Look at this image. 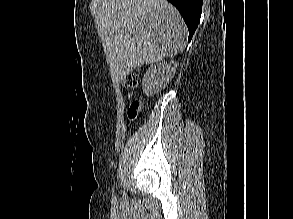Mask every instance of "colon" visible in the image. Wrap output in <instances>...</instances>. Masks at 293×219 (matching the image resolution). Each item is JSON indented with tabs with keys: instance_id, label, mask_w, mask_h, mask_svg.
<instances>
[{
	"instance_id": "obj_1",
	"label": "colon",
	"mask_w": 293,
	"mask_h": 219,
	"mask_svg": "<svg viewBox=\"0 0 293 219\" xmlns=\"http://www.w3.org/2000/svg\"><path fill=\"white\" fill-rule=\"evenodd\" d=\"M138 81H139L138 75L132 72L125 76L123 81V86L126 90H132L137 86ZM139 109H140V103L137 101L132 102L128 108V112H127L128 118L130 120H135L138 116Z\"/></svg>"
}]
</instances>
